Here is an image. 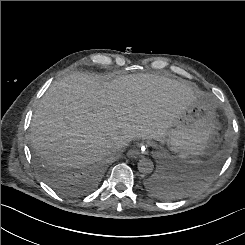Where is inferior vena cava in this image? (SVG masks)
<instances>
[{
	"mask_svg": "<svg viewBox=\"0 0 245 245\" xmlns=\"http://www.w3.org/2000/svg\"><path fill=\"white\" fill-rule=\"evenodd\" d=\"M128 143H129L128 140H119L114 144H112L111 146H109V148L114 153L121 152L123 151L124 147L128 145Z\"/></svg>",
	"mask_w": 245,
	"mask_h": 245,
	"instance_id": "602c4592",
	"label": "inferior vena cava"
}]
</instances>
